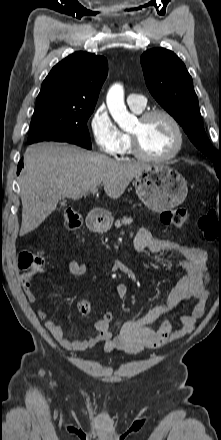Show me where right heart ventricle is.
I'll return each instance as SVG.
<instances>
[{
	"label": "right heart ventricle",
	"mask_w": 221,
	"mask_h": 440,
	"mask_svg": "<svg viewBox=\"0 0 221 440\" xmlns=\"http://www.w3.org/2000/svg\"><path fill=\"white\" fill-rule=\"evenodd\" d=\"M135 113H140L142 110H137L135 108H131ZM125 138V145L121 154L130 153L131 152V142L128 134H123Z\"/></svg>",
	"instance_id": "obj_1"
}]
</instances>
